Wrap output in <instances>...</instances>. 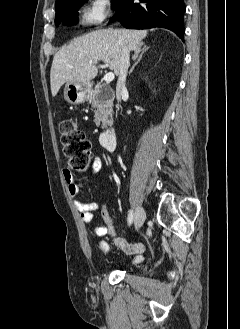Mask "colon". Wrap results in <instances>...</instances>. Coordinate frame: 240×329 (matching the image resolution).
<instances>
[{
	"mask_svg": "<svg viewBox=\"0 0 240 329\" xmlns=\"http://www.w3.org/2000/svg\"><path fill=\"white\" fill-rule=\"evenodd\" d=\"M60 132L68 164L75 170L87 171L91 160V144L84 132L71 119L61 121Z\"/></svg>",
	"mask_w": 240,
	"mask_h": 329,
	"instance_id": "5ec220e1",
	"label": "colon"
}]
</instances>
